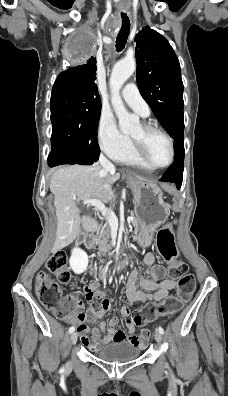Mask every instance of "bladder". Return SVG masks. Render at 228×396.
I'll return each instance as SVG.
<instances>
[{
  "mask_svg": "<svg viewBox=\"0 0 228 396\" xmlns=\"http://www.w3.org/2000/svg\"><path fill=\"white\" fill-rule=\"evenodd\" d=\"M92 353L106 362L125 363L139 358L142 348L128 341H114L97 348Z\"/></svg>",
  "mask_w": 228,
  "mask_h": 396,
  "instance_id": "31cf9c89",
  "label": "bladder"
}]
</instances>
